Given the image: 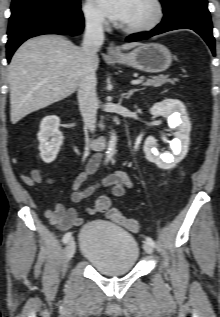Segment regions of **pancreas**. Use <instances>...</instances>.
Returning a JSON list of instances; mask_svg holds the SVG:
<instances>
[{
	"label": "pancreas",
	"instance_id": "1",
	"mask_svg": "<svg viewBox=\"0 0 220 317\" xmlns=\"http://www.w3.org/2000/svg\"><path fill=\"white\" fill-rule=\"evenodd\" d=\"M144 77H141V80H144ZM178 79H169L168 76L160 75V76H155L152 77L151 79H147L145 82H143L144 86H153V87H160L161 85L165 83H171L175 84Z\"/></svg>",
	"mask_w": 220,
	"mask_h": 317
}]
</instances>
